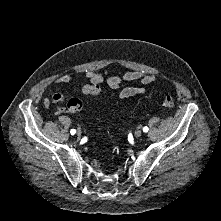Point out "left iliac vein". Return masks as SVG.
Instances as JSON below:
<instances>
[{"label":"left iliac vein","mask_w":221,"mask_h":221,"mask_svg":"<svg viewBox=\"0 0 221 221\" xmlns=\"http://www.w3.org/2000/svg\"><path fill=\"white\" fill-rule=\"evenodd\" d=\"M134 135H135L136 137H140V136L142 135V132H141L140 130H136L135 133H134Z\"/></svg>","instance_id":"1"}]
</instances>
